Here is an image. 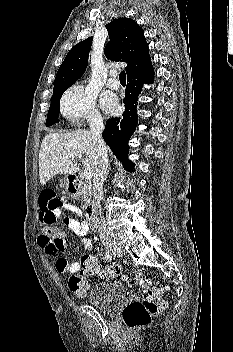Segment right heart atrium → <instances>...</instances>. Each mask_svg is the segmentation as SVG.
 <instances>
[{"label": "right heart atrium", "mask_w": 233, "mask_h": 352, "mask_svg": "<svg viewBox=\"0 0 233 352\" xmlns=\"http://www.w3.org/2000/svg\"><path fill=\"white\" fill-rule=\"evenodd\" d=\"M62 115L72 123L99 122L101 115L96 108V96L83 85L71 86L60 101Z\"/></svg>", "instance_id": "d8ad5b80"}]
</instances>
